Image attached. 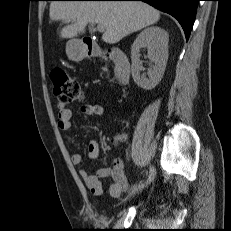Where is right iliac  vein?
<instances>
[{
  "label": "right iliac vein",
  "instance_id": "obj_1",
  "mask_svg": "<svg viewBox=\"0 0 231 231\" xmlns=\"http://www.w3.org/2000/svg\"><path fill=\"white\" fill-rule=\"evenodd\" d=\"M155 175H156V170H155V168H154L153 166H150L149 176H148V178H147L145 184H143V185L141 186V189H143L144 187L150 185L151 182L154 180Z\"/></svg>",
  "mask_w": 231,
  "mask_h": 231
}]
</instances>
